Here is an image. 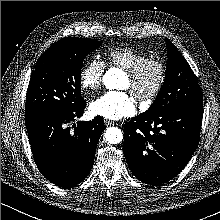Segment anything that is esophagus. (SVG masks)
I'll list each match as a JSON object with an SVG mask.
<instances>
[{"instance_id": "1", "label": "esophagus", "mask_w": 220, "mask_h": 220, "mask_svg": "<svg viewBox=\"0 0 220 220\" xmlns=\"http://www.w3.org/2000/svg\"><path fill=\"white\" fill-rule=\"evenodd\" d=\"M104 123H105L106 126H110L112 124L114 125V123L112 121L107 120V119L104 121Z\"/></svg>"}]
</instances>
